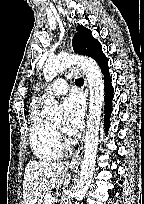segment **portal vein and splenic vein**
<instances>
[{
  "mask_svg": "<svg viewBox=\"0 0 144 204\" xmlns=\"http://www.w3.org/2000/svg\"><path fill=\"white\" fill-rule=\"evenodd\" d=\"M56 201V198L55 197H52V196H49L47 198V204H52V202Z\"/></svg>",
  "mask_w": 144,
  "mask_h": 204,
  "instance_id": "1",
  "label": "portal vein and splenic vein"
}]
</instances>
